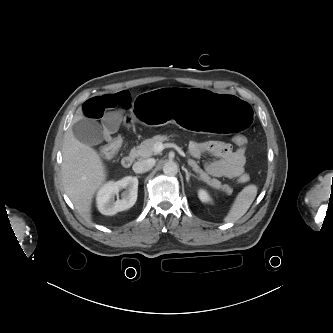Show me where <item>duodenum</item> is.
<instances>
[{"mask_svg":"<svg viewBox=\"0 0 333 333\" xmlns=\"http://www.w3.org/2000/svg\"><path fill=\"white\" fill-rule=\"evenodd\" d=\"M135 156L133 153H127L122 159V165L125 168H129L134 162Z\"/></svg>","mask_w":333,"mask_h":333,"instance_id":"1","label":"duodenum"}]
</instances>
